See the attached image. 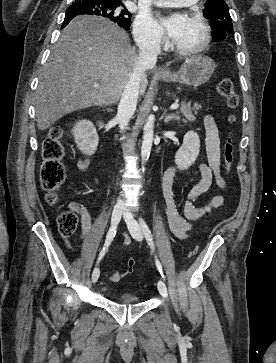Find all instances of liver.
<instances>
[{
  "instance_id": "1",
  "label": "liver",
  "mask_w": 276,
  "mask_h": 363,
  "mask_svg": "<svg viewBox=\"0 0 276 363\" xmlns=\"http://www.w3.org/2000/svg\"><path fill=\"white\" fill-rule=\"evenodd\" d=\"M137 56L128 34L117 24L103 17H75L63 29L39 76L35 97L38 129L46 130L77 110L116 103ZM94 84L100 87L94 88ZM147 84L144 71L141 94Z\"/></svg>"
}]
</instances>
